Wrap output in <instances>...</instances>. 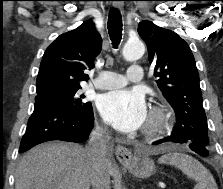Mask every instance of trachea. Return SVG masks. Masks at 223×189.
Instances as JSON below:
<instances>
[{
	"label": "trachea",
	"instance_id": "trachea-1",
	"mask_svg": "<svg viewBox=\"0 0 223 189\" xmlns=\"http://www.w3.org/2000/svg\"><path fill=\"white\" fill-rule=\"evenodd\" d=\"M122 17L117 9L112 8L108 17V31L114 47H117L122 37Z\"/></svg>",
	"mask_w": 223,
	"mask_h": 189
}]
</instances>
